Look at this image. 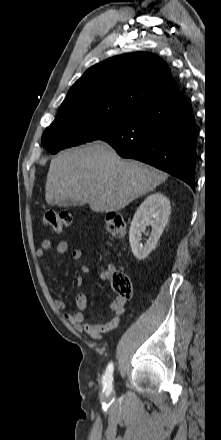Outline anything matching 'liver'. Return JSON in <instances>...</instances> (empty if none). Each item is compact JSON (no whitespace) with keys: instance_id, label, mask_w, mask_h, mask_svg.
I'll return each instance as SVG.
<instances>
[{"instance_id":"obj_1","label":"liver","mask_w":221,"mask_h":440,"mask_svg":"<svg viewBox=\"0 0 221 440\" xmlns=\"http://www.w3.org/2000/svg\"><path fill=\"white\" fill-rule=\"evenodd\" d=\"M168 175L138 161L123 160L107 143L69 149L51 160L45 198L49 205L73 199L94 212H113L163 183Z\"/></svg>"}]
</instances>
